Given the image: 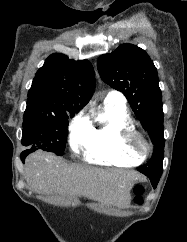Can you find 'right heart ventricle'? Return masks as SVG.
I'll return each instance as SVG.
<instances>
[{
  "instance_id": "right-heart-ventricle-1",
  "label": "right heart ventricle",
  "mask_w": 187,
  "mask_h": 242,
  "mask_svg": "<svg viewBox=\"0 0 187 242\" xmlns=\"http://www.w3.org/2000/svg\"><path fill=\"white\" fill-rule=\"evenodd\" d=\"M89 125V138L82 148L86 162L119 167L141 163V159L128 153L121 143V132L125 128H135L125 104L104 102Z\"/></svg>"
}]
</instances>
